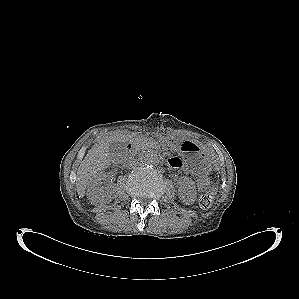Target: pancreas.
<instances>
[{
  "instance_id": "obj_1",
  "label": "pancreas",
  "mask_w": 299,
  "mask_h": 299,
  "mask_svg": "<svg viewBox=\"0 0 299 299\" xmlns=\"http://www.w3.org/2000/svg\"><path fill=\"white\" fill-rule=\"evenodd\" d=\"M135 144H136V147H138V148H146L149 145H154V142L151 139H148L143 136H139L135 139Z\"/></svg>"
}]
</instances>
